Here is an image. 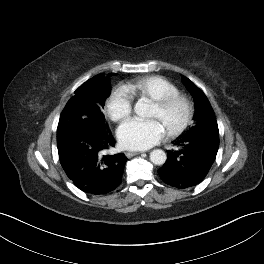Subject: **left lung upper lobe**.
<instances>
[{
	"label": "left lung upper lobe",
	"instance_id": "1",
	"mask_svg": "<svg viewBox=\"0 0 264 264\" xmlns=\"http://www.w3.org/2000/svg\"><path fill=\"white\" fill-rule=\"evenodd\" d=\"M182 80L194 98L196 110L194 115L195 123L186 136L200 132H212L219 134L215 114L205 94L185 76L182 77Z\"/></svg>",
	"mask_w": 264,
	"mask_h": 264
}]
</instances>
